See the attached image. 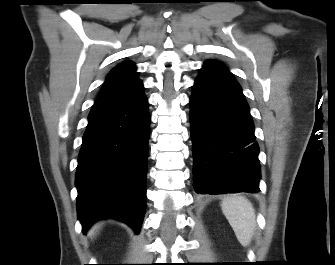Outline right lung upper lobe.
<instances>
[{
	"instance_id": "obj_1",
	"label": "right lung upper lobe",
	"mask_w": 335,
	"mask_h": 265,
	"mask_svg": "<svg viewBox=\"0 0 335 265\" xmlns=\"http://www.w3.org/2000/svg\"><path fill=\"white\" fill-rule=\"evenodd\" d=\"M141 92L143 83L138 78L135 64L124 61L110 72L95 104L128 99Z\"/></svg>"
}]
</instances>
